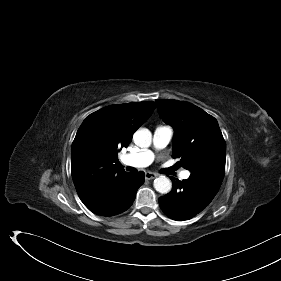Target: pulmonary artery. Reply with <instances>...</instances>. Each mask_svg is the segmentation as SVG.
Returning <instances> with one entry per match:
<instances>
[{
	"mask_svg": "<svg viewBox=\"0 0 281 281\" xmlns=\"http://www.w3.org/2000/svg\"><path fill=\"white\" fill-rule=\"evenodd\" d=\"M174 131L172 127L167 125H159L153 132V150L158 151L165 148L171 141ZM151 149H143L138 152L127 154L122 157V161L134 167H146L154 160V151ZM189 171H183L180 174L181 179H188Z\"/></svg>",
	"mask_w": 281,
	"mask_h": 281,
	"instance_id": "1",
	"label": "pulmonary artery"
}]
</instances>
